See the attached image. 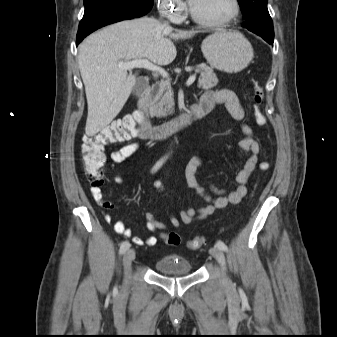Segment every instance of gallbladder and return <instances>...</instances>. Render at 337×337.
<instances>
[{
	"mask_svg": "<svg viewBox=\"0 0 337 337\" xmlns=\"http://www.w3.org/2000/svg\"><path fill=\"white\" fill-rule=\"evenodd\" d=\"M143 89H144V85L140 81H138L133 91L136 95H139L143 91Z\"/></svg>",
	"mask_w": 337,
	"mask_h": 337,
	"instance_id": "bac80fb5",
	"label": "gallbladder"
}]
</instances>
